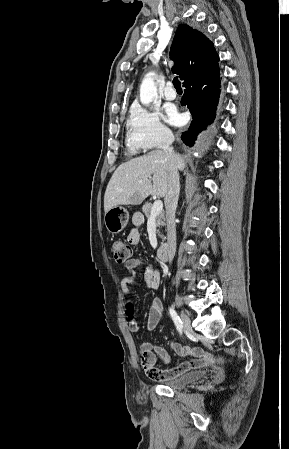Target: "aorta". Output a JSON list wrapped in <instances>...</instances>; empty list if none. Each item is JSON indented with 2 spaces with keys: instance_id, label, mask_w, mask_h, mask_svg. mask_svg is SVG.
Masks as SVG:
<instances>
[{
  "instance_id": "762f6f07",
  "label": "aorta",
  "mask_w": 289,
  "mask_h": 449,
  "mask_svg": "<svg viewBox=\"0 0 289 449\" xmlns=\"http://www.w3.org/2000/svg\"><path fill=\"white\" fill-rule=\"evenodd\" d=\"M154 72H149L144 77L140 86V101L143 105H149L157 95V87L154 82Z\"/></svg>"
}]
</instances>
